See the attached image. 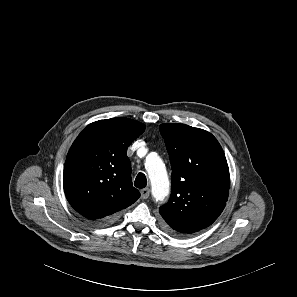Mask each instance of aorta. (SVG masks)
<instances>
[{"instance_id":"762f6f07","label":"aorta","mask_w":297,"mask_h":297,"mask_svg":"<svg viewBox=\"0 0 297 297\" xmlns=\"http://www.w3.org/2000/svg\"><path fill=\"white\" fill-rule=\"evenodd\" d=\"M146 170L151 182L152 195L162 201L169 194V179L161 158L151 155L146 160Z\"/></svg>"}]
</instances>
